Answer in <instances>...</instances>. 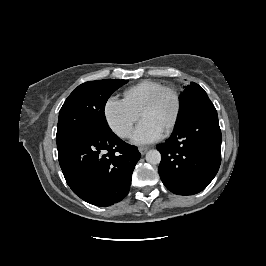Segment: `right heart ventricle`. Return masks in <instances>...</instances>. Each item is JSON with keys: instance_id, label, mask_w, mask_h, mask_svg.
Listing matches in <instances>:
<instances>
[{"instance_id": "e07e8e85", "label": "right heart ventricle", "mask_w": 266, "mask_h": 266, "mask_svg": "<svg viewBox=\"0 0 266 266\" xmlns=\"http://www.w3.org/2000/svg\"><path fill=\"white\" fill-rule=\"evenodd\" d=\"M160 82L145 80L125 90L124 100L138 113L150 96L163 87Z\"/></svg>"}]
</instances>
